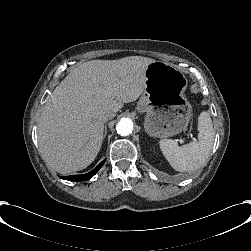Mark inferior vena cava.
I'll return each mask as SVG.
<instances>
[{
	"label": "inferior vena cava",
	"mask_w": 251,
	"mask_h": 251,
	"mask_svg": "<svg viewBox=\"0 0 251 251\" xmlns=\"http://www.w3.org/2000/svg\"><path fill=\"white\" fill-rule=\"evenodd\" d=\"M109 116L113 118L115 116V113H111ZM105 120H107V118H105Z\"/></svg>",
	"instance_id": "obj_1"
}]
</instances>
